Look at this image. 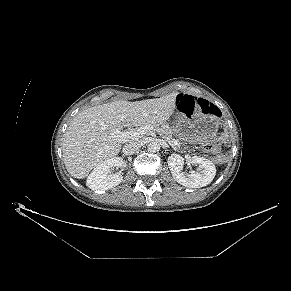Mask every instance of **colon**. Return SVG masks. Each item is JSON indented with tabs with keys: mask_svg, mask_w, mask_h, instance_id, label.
Wrapping results in <instances>:
<instances>
[{
	"mask_svg": "<svg viewBox=\"0 0 291 291\" xmlns=\"http://www.w3.org/2000/svg\"><path fill=\"white\" fill-rule=\"evenodd\" d=\"M177 107L186 115H193L195 113L218 115V108L209 101L199 98L191 97L187 95H179L177 98ZM204 150L211 154H217L220 151V142L217 139H213L203 146ZM214 160L218 164L226 162V157L223 155H217Z\"/></svg>",
	"mask_w": 291,
	"mask_h": 291,
	"instance_id": "1",
	"label": "colon"
}]
</instances>
